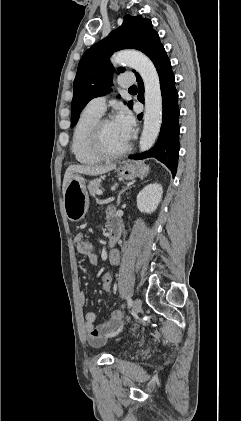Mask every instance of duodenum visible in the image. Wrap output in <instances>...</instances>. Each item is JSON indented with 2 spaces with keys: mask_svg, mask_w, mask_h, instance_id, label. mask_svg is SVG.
Returning <instances> with one entry per match:
<instances>
[{
  "mask_svg": "<svg viewBox=\"0 0 241 421\" xmlns=\"http://www.w3.org/2000/svg\"><path fill=\"white\" fill-rule=\"evenodd\" d=\"M108 232H109V243L110 245L115 244L121 236V227L119 222L113 216L109 217L108 220Z\"/></svg>",
  "mask_w": 241,
  "mask_h": 421,
  "instance_id": "1",
  "label": "duodenum"
}]
</instances>
